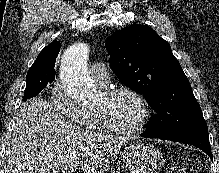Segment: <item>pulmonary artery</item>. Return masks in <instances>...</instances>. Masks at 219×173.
Returning <instances> with one entry per match:
<instances>
[{"label": "pulmonary artery", "instance_id": "1", "mask_svg": "<svg viewBox=\"0 0 219 173\" xmlns=\"http://www.w3.org/2000/svg\"><path fill=\"white\" fill-rule=\"evenodd\" d=\"M91 77L100 85L105 86L109 81L108 69L102 61H96L90 66Z\"/></svg>", "mask_w": 219, "mask_h": 173}]
</instances>
